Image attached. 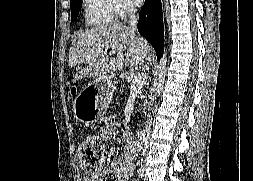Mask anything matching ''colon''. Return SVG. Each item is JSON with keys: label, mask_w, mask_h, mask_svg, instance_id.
Returning <instances> with one entry per match:
<instances>
[{"label": "colon", "mask_w": 253, "mask_h": 181, "mask_svg": "<svg viewBox=\"0 0 253 181\" xmlns=\"http://www.w3.org/2000/svg\"><path fill=\"white\" fill-rule=\"evenodd\" d=\"M105 146L96 136L85 137L79 146L81 167L88 173H94L100 169L105 161Z\"/></svg>", "instance_id": "1"}]
</instances>
